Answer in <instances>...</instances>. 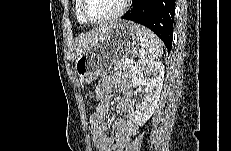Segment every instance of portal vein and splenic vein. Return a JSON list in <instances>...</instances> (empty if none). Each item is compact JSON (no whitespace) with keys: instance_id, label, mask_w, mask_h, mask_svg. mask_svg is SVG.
I'll return each mask as SVG.
<instances>
[{"instance_id":"1","label":"portal vein and splenic vein","mask_w":231,"mask_h":151,"mask_svg":"<svg viewBox=\"0 0 231 151\" xmlns=\"http://www.w3.org/2000/svg\"><path fill=\"white\" fill-rule=\"evenodd\" d=\"M125 62H126V63H131V62H133V60H131V59H129V58H125Z\"/></svg>"}]
</instances>
